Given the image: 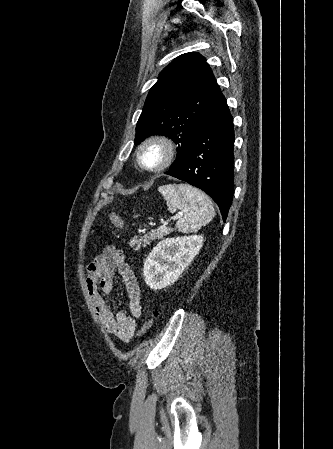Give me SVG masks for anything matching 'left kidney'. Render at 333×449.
I'll use <instances>...</instances> for the list:
<instances>
[{"mask_svg": "<svg viewBox=\"0 0 333 449\" xmlns=\"http://www.w3.org/2000/svg\"><path fill=\"white\" fill-rule=\"evenodd\" d=\"M203 245L202 235L166 238L149 253L144 262L146 284L154 290L175 282Z\"/></svg>", "mask_w": 333, "mask_h": 449, "instance_id": "5707ae66", "label": "left kidney"}]
</instances>
